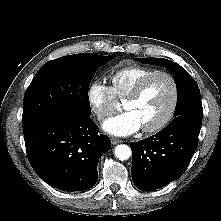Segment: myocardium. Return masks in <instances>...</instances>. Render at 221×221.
<instances>
[{"label":"myocardium","instance_id":"1","mask_svg":"<svg viewBox=\"0 0 221 221\" xmlns=\"http://www.w3.org/2000/svg\"><path fill=\"white\" fill-rule=\"evenodd\" d=\"M156 77H165L167 78L172 86V101L170 104V107L167 111V113L164 115V117L159 120L157 123L147 126V127H142L143 132L145 133H153L157 132L161 129H163L165 126L168 125V123L172 120V118L175 115V112L178 107L179 103V85L176 80V78L171 75L170 73L164 72V71H155L144 78H142L136 85L135 87L130 91V93L125 97V101H133L138 99L141 94L143 93L144 89L146 88L147 84L154 78Z\"/></svg>","mask_w":221,"mask_h":221}]
</instances>
